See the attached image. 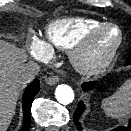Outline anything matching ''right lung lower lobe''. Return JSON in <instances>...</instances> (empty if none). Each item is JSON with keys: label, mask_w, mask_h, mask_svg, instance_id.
<instances>
[{"label": "right lung lower lobe", "mask_w": 131, "mask_h": 131, "mask_svg": "<svg viewBox=\"0 0 131 131\" xmlns=\"http://www.w3.org/2000/svg\"><path fill=\"white\" fill-rule=\"evenodd\" d=\"M40 90V83L38 79H35L27 86L23 95V118L24 123L19 131H29L31 125L30 109L34 97Z\"/></svg>", "instance_id": "98d812e1"}]
</instances>
